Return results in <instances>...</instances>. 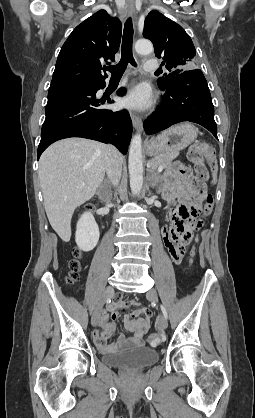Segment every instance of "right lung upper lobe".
Wrapping results in <instances>:
<instances>
[{
    "instance_id": "obj_1",
    "label": "right lung upper lobe",
    "mask_w": 255,
    "mask_h": 418,
    "mask_svg": "<svg viewBox=\"0 0 255 418\" xmlns=\"http://www.w3.org/2000/svg\"><path fill=\"white\" fill-rule=\"evenodd\" d=\"M122 24L100 10L78 25L63 44L50 87L92 84L105 81L103 63L115 61ZM108 63V62H107Z\"/></svg>"
}]
</instances>
